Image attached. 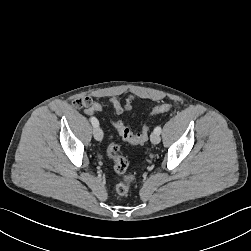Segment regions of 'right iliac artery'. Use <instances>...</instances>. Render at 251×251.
<instances>
[{"instance_id": "82829eb1", "label": "right iliac artery", "mask_w": 251, "mask_h": 251, "mask_svg": "<svg viewBox=\"0 0 251 251\" xmlns=\"http://www.w3.org/2000/svg\"><path fill=\"white\" fill-rule=\"evenodd\" d=\"M90 121H91V123H92V125H93L94 127L99 126V122H98V120H97L95 117H91V118H90Z\"/></svg>"}]
</instances>
